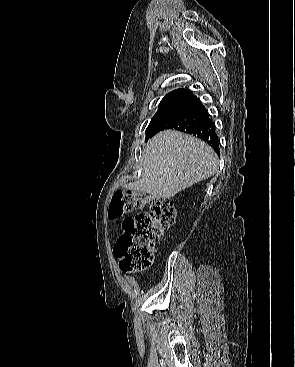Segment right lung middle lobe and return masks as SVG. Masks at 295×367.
<instances>
[{"label": "right lung middle lobe", "mask_w": 295, "mask_h": 367, "mask_svg": "<svg viewBox=\"0 0 295 367\" xmlns=\"http://www.w3.org/2000/svg\"><path fill=\"white\" fill-rule=\"evenodd\" d=\"M192 93L188 90H174L168 93L160 102L159 109L150 121L146 129V137L151 136L156 128L167 119L180 105H182Z\"/></svg>", "instance_id": "obj_1"}]
</instances>
